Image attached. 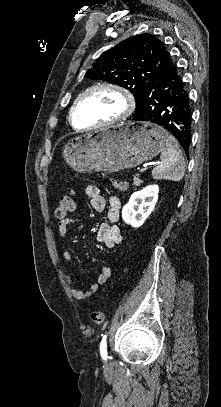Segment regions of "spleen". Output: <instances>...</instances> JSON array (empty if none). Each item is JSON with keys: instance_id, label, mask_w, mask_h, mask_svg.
<instances>
[{"instance_id": "obj_1", "label": "spleen", "mask_w": 221, "mask_h": 407, "mask_svg": "<svg viewBox=\"0 0 221 407\" xmlns=\"http://www.w3.org/2000/svg\"><path fill=\"white\" fill-rule=\"evenodd\" d=\"M161 162L152 170V177L157 180L180 181L185 173V160L177 140L167 135L166 148L160 156Z\"/></svg>"}]
</instances>
